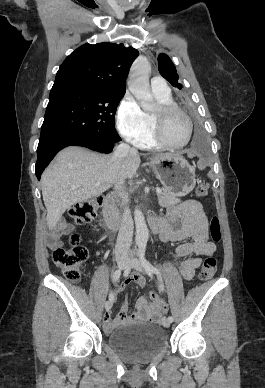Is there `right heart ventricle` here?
Wrapping results in <instances>:
<instances>
[{"instance_id":"1","label":"right heart ventricle","mask_w":265,"mask_h":388,"mask_svg":"<svg viewBox=\"0 0 265 388\" xmlns=\"http://www.w3.org/2000/svg\"><path fill=\"white\" fill-rule=\"evenodd\" d=\"M154 98L157 101V104L173 103V99L169 91H154ZM149 119V127L147 132L139 139L136 140L138 147L143 149H157L160 147L159 143L156 141L153 133L152 126V114L146 113Z\"/></svg>"}]
</instances>
